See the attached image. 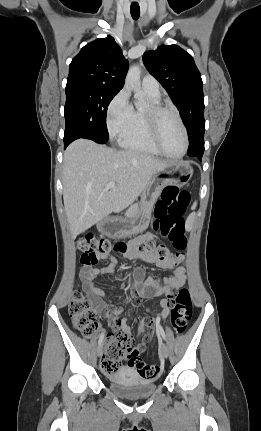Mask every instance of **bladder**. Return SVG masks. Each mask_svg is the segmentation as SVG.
Segmentation results:
<instances>
[{"mask_svg": "<svg viewBox=\"0 0 261 431\" xmlns=\"http://www.w3.org/2000/svg\"><path fill=\"white\" fill-rule=\"evenodd\" d=\"M109 387L121 397L139 399L152 395L157 384L152 379L140 377L134 369L124 367L109 377Z\"/></svg>", "mask_w": 261, "mask_h": 431, "instance_id": "bladder-1", "label": "bladder"}]
</instances>
